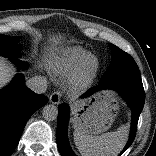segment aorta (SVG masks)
Returning a JSON list of instances; mask_svg holds the SVG:
<instances>
[{
  "mask_svg": "<svg viewBox=\"0 0 156 156\" xmlns=\"http://www.w3.org/2000/svg\"><path fill=\"white\" fill-rule=\"evenodd\" d=\"M42 116L46 121H54L58 116V108L55 105H46L43 107Z\"/></svg>",
  "mask_w": 156,
  "mask_h": 156,
  "instance_id": "aorta-1",
  "label": "aorta"
}]
</instances>
